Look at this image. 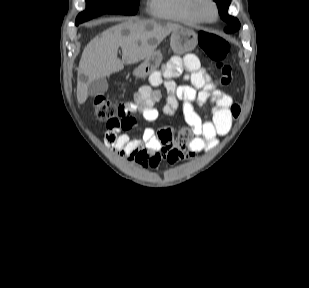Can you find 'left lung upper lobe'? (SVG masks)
Wrapping results in <instances>:
<instances>
[{
  "instance_id": "left-lung-upper-lobe-1",
  "label": "left lung upper lobe",
  "mask_w": 309,
  "mask_h": 288,
  "mask_svg": "<svg viewBox=\"0 0 309 288\" xmlns=\"http://www.w3.org/2000/svg\"><path fill=\"white\" fill-rule=\"evenodd\" d=\"M218 5L219 13L224 21L228 23L225 28L226 33H233L237 31L240 27V23L237 18L228 15L227 10L230 5L231 0H214Z\"/></svg>"
}]
</instances>
